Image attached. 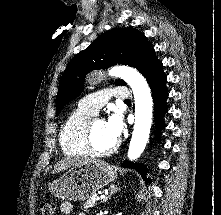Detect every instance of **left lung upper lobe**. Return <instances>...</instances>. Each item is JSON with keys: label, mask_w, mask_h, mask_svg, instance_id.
Wrapping results in <instances>:
<instances>
[{"label": "left lung upper lobe", "mask_w": 221, "mask_h": 215, "mask_svg": "<svg viewBox=\"0 0 221 215\" xmlns=\"http://www.w3.org/2000/svg\"><path fill=\"white\" fill-rule=\"evenodd\" d=\"M145 35L134 28L114 29L99 36L93 44L79 52L69 63L59 81L56 116L84 89L85 75L95 69L124 64L144 73L158 61ZM116 85H125L116 80Z\"/></svg>", "instance_id": "obj_1"}]
</instances>
